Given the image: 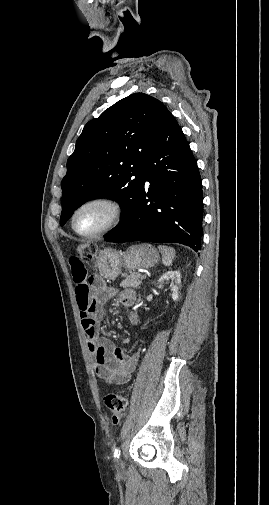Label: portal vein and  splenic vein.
Segmentation results:
<instances>
[{
    "mask_svg": "<svg viewBox=\"0 0 269 505\" xmlns=\"http://www.w3.org/2000/svg\"><path fill=\"white\" fill-rule=\"evenodd\" d=\"M141 279H145L146 278V275H141L140 277Z\"/></svg>",
    "mask_w": 269,
    "mask_h": 505,
    "instance_id": "18ae733b",
    "label": "portal vein and splenic vein"
}]
</instances>
